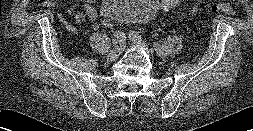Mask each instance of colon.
<instances>
[{
	"instance_id": "1",
	"label": "colon",
	"mask_w": 253,
	"mask_h": 131,
	"mask_svg": "<svg viewBox=\"0 0 253 131\" xmlns=\"http://www.w3.org/2000/svg\"><path fill=\"white\" fill-rule=\"evenodd\" d=\"M181 0H161V6L164 11H174L180 4ZM213 12L234 15L235 10L230 2L221 0L212 7ZM102 26L112 31L114 29L113 22L108 18H103L101 21Z\"/></svg>"
}]
</instances>
